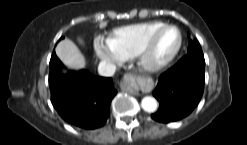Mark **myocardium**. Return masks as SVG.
I'll list each match as a JSON object with an SVG mask.
<instances>
[{
    "instance_id": "f54148a6",
    "label": "myocardium",
    "mask_w": 247,
    "mask_h": 145,
    "mask_svg": "<svg viewBox=\"0 0 247 145\" xmlns=\"http://www.w3.org/2000/svg\"><path fill=\"white\" fill-rule=\"evenodd\" d=\"M167 28H172L176 30L178 34L177 45L169 57H167L166 59L162 61L152 62L150 61V53H151L153 44L157 36L160 34V32H162L163 30ZM182 43H183L182 33L177 26L173 24L161 25L149 35V37L147 38V40L145 41V43L143 44L139 52L136 54L135 59H136V65L138 69L141 72L146 73V74H155V73L165 70L174 62V60L178 56L181 50V47H182Z\"/></svg>"
}]
</instances>
